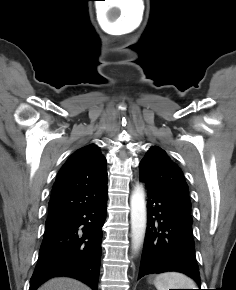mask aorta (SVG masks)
<instances>
[{
    "mask_svg": "<svg viewBox=\"0 0 236 290\" xmlns=\"http://www.w3.org/2000/svg\"><path fill=\"white\" fill-rule=\"evenodd\" d=\"M132 250L137 252L143 243L146 231V204L142 186L135 187L130 198Z\"/></svg>",
    "mask_w": 236,
    "mask_h": 290,
    "instance_id": "762f6f07",
    "label": "aorta"
}]
</instances>
